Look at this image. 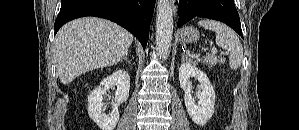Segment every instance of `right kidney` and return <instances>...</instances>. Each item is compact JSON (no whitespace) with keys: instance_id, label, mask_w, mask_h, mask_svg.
Instances as JSON below:
<instances>
[{"instance_id":"obj_1","label":"right kidney","mask_w":299,"mask_h":130,"mask_svg":"<svg viewBox=\"0 0 299 130\" xmlns=\"http://www.w3.org/2000/svg\"><path fill=\"white\" fill-rule=\"evenodd\" d=\"M116 86L115 103H112V111L109 115L103 113V97L106 92ZM130 77L125 70H116L110 76L104 78L100 85L88 96V114L101 130H114L119 121L118 106L125 102L129 96Z\"/></svg>"}]
</instances>
